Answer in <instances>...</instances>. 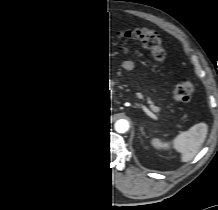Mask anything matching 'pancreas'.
<instances>
[{"label": "pancreas", "instance_id": "obj_1", "mask_svg": "<svg viewBox=\"0 0 218 210\" xmlns=\"http://www.w3.org/2000/svg\"><path fill=\"white\" fill-rule=\"evenodd\" d=\"M109 85H110V88H111V85L113 86V85H114V82L109 81ZM120 88H121V87H120ZM111 91H112V90H111ZM136 96H137L139 99H143V98H144L141 93H136ZM147 102H148V104H149V106H150V109H151L153 112H155V113L160 112V110H161L160 107L155 106L154 103H153V101H152L149 97H147Z\"/></svg>", "mask_w": 218, "mask_h": 210}]
</instances>
